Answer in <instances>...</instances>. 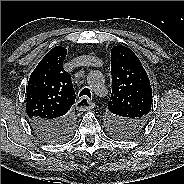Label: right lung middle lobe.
<instances>
[{
    "label": "right lung middle lobe",
    "instance_id": "dd1d6c3e",
    "mask_svg": "<svg viewBox=\"0 0 184 184\" xmlns=\"http://www.w3.org/2000/svg\"><path fill=\"white\" fill-rule=\"evenodd\" d=\"M73 128H74V125L71 126L67 131L62 132L61 135L56 136L55 138H52L51 140H46V142L57 143V142H62L64 140H67L69 136L71 135Z\"/></svg>",
    "mask_w": 184,
    "mask_h": 184
}]
</instances>
